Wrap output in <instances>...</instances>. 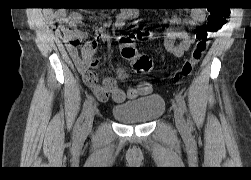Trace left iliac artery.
Returning a JSON list of instances; mask_svg holds the SVG:
<instances>
[{
	"mask_svg": "<svg viewBox=\"0 0 251 180\" xmlns=\"http://www.w3.org/2000/svg\"><path fill=\"white\" fill-rule=\"evenodd\" d=\"M176 101H177L178 106L180 107V109L183 111V113L187 114V107H186L184 97L182 95L178 94V95H176ZM187 122H188V124H191V120H190L189 116L187 118Z\"/></svg>",
	"mask_w": 251,
	"mask_h": 180,
	"instance_id": "left-iliac-artery-1",
	"label": "left iliac artery"
}]
</instances>
